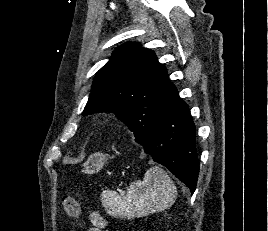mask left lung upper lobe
Wrapping results in <instances>:
<instances>
[{"instance_id":"1","label":"left lung upper lobe","mask_w":268,"mask_h":231,"mask_svg":"<svg viewBox=\"0 0 268 231\" xmlns=\"http://www.w3.org/2000/svg\"><path fill=\"white\" fill-rule=\"evenodd\" d=\"M178 98L154 52L127 43L97 72L83 114L114 112L137 140L152 130Z\"/></svg>"}]
</instances>
